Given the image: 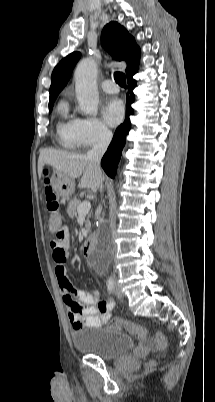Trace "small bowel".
Segmentation results:
<instances>
[{
  "label": "small bowel",
  "instance_id": "c3829d8e",
  "mask_svg": "<svg viewBox=\"0 0 215 402\" xmlns=\"http://www.w3.org/2000/svg\"><path fill=\"white\" fill-rule=\"evenodd\" d=\"M69 245V232L65 228L59 230L56 239L50 243L55 275L67 306L68 318L74 329L101 327L110 320L114 302L111 299L100 300L98 291L86 292L72 285L64 266L69 257Z\"/></svg>",
  "mask_w": 215,
  "mask_h": 402
}]
</instances>
